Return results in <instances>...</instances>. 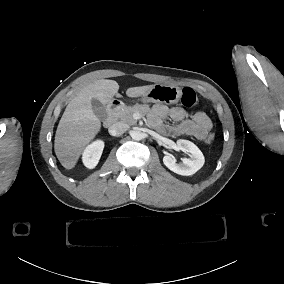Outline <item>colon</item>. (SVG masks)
Returning a JSON list of instances; mask_svg holds the SVG:
<instances>
[{"mask_svg": "<svg viewBox=\"0 0 284 284\" xmlns=\"http://www.w3.org/2000/svg\"><path fill=\"white\" fill-rule=\"evenodd\" d=\"M180 95L185 106L193 107L198 102L197 97L193 95L192 90L188 87L183 88L180 92ZM205 140L207 143H212L215 140V136L213 134H209Z\"/></svg>", "mask_w": 284, "mask_h": 284, "instance_id": "1", "label": "colon"}]
</instances>
